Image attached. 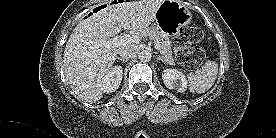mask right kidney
<instances>
[{
    "label": "right kidney",
    "instance_id": "right-kidney-1",
    "mask_svg": "<svg viewBox=\"0 0 276 138\" xmlns=\"http://www.w3.org/2000/svg\"><path fill=\"white\" fill-rule=\"evenodd\" d=\"M123 69L121 66H115L104 76L102 80V90L106 93L116 91L122 81Z\"/></svg>",
    "mask_w": 276,
    "mask_h": 138
}]
</instances>
